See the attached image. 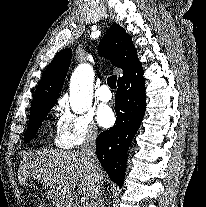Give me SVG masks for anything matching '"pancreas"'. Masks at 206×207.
<instances>
[{"label":"pancreas","instance_id":"1","mask_svg":"<svg viewBox=\"0 0 206 207\" xmlns=\"http://www.w3.org/2000/svg\"><path fill=\"white\" fill-rule=\"evenodd\" d=\"M76 207H85V206H80V205H78V206H76ZM87 207V206H86Z\"/></svg>","mask_w":206,"mask_h":207}]
</instances>
